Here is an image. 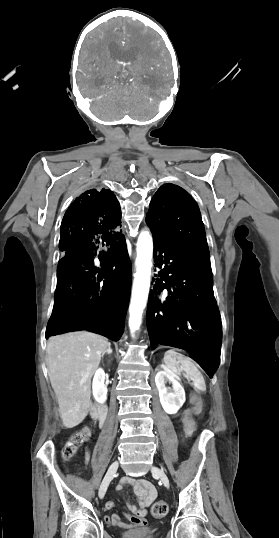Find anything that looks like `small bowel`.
I'll use <instances>...</instances> for the list:
<instances>
[{
  "instance_id": "small-bowel-1",
  "label": "small bowel",
  "mask_w": 279,
  "mask_h": 538,
  "mask_svg": "<svg viewBox=\"0 0 279 538\" xmlns=\"http://www.w3.org/2000/svg\"><path fill=\"white\" fill-rule=\"evenodd\" d=\"M89 458L88 454H85V461ZM127 486H133L135 488L136 494L138 496L139 505L138 507L127 502L126 506L129 510L126 513L127 519L130 521V524H126L122 521L119 515H107L105 516V521L109 525L120 527V528H140L146 525V520L144 519L147 508L153 503L156 499V489L153 484L144 479H133L130 477L122 478L116 486L117 491L123 490ZM115 507L113 501H107L105 504V509L110 510Z\"/></svg>"
}]
</instances>
